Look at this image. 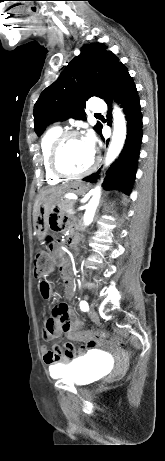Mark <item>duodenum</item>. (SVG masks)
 Returning <instances> with one entry per match:
<instances>
[{
    "label": "duodenum",
    "instance_id": "1",
    "mask_svg": "<svg viewBox=\"0 0 165 461\" xmlns=\"http://www.w3.org/2000/svg\"><path fill=\"white\" fill-rule=\"evenodd\" d=\"M77 239L75 233L73 231H70L68 236H67V240H68V244H71L73 242H75Z\"/></svg>",
    "mask_w": 165,
    "mask_h": 461
}]
</instances>
